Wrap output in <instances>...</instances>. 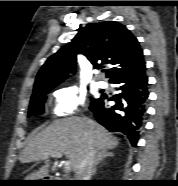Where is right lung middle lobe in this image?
Wrapping results in <instances>:
<instances>
[{"mask_svg": "<svg viewBox=\"0 0 178 186\" xmlns=\"http://www.w3.org/2000/svg\"><path fill=\"white\" fill-rule=\"evenodd\" d=\"M52 88L43 89L37 92L36 94L32 95L30 105H29V116L30 115H38L43 112L44 110V102L46 100V94L51 90ZM96 99H92V102ZM91 102V103H92Z\"/></svg>", "mask_w": 178, "mask_h": 186, "instance_id": "dd1d6c3e", "label": "right lung middle lobe"}]
</instances>
